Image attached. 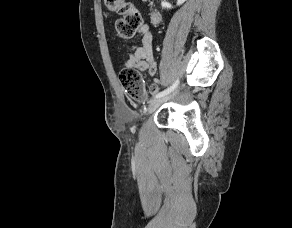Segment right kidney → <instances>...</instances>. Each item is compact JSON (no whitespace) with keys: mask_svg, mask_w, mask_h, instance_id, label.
Listing matches in <instances>:
<instances>
[{"mask_svg":"<svg viewBox=\"0 0 292 228\" xmlns=\"http://www.w3.org/2000/svg\"><path fill=\"white\" fill-rule=\"evenodd\" d=\"M185 1H186V0H177V5H178V6L181 5V4H183ZM161 6H162V8H167V9L172 8V5H171L170 3H168V2H166V1H162Z\"/></svg>","mask_w":292,"mask_h":228,"instance_id":"ca27d5eb","label":"right kidney"}]
</instances>
